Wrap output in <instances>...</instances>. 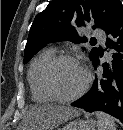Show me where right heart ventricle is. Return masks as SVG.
Listing matches in <instances>:
<instances>
[{
    "mask_svg": "<svg viewBox=\"0 0 123 130\" xmlns=\"http://www.w3.org/2000/svg\"><path fill=\"white\" fill-rule=\"evenodd\" d=\"M55 56L56 52L54 49L46 48L39 52L30 65L27 78L31 95L35 102L48 103L54 101L45 85V72Z\"/></svg>",
    "mask_w": 123,
    "mask_h": 130,
    "instance_id": "right-heart-ventricle-1",
    "label": "right heart ventricle"
}]
</instances>
